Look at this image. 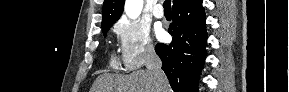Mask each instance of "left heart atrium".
Returning <instances> with one entry per match:
<instances>
[{"label": "left heart atrium", "instance_id": "left-heart-atrium-1", "mask_svg": "<svg viewBox=\"0 0 289 92\" xmlns=\"http://www.w3.org/2000/svg\"><path fill=\"white\" fill-rule=\"evenodd\" d=\"M156 36H157L158 39H162L164 37V30L161 29V28H158L156 30Z\"/></svg>", "mask_w": 289, "mask_h": 92}]
</instances>
